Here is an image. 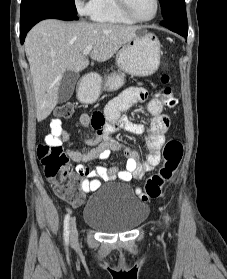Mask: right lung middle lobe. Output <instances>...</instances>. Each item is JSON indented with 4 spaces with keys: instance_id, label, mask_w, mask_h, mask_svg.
<instances>
[{
    "instance_id": "dd1d6c3e",
    "label": "right lung middle lobe",
    "mask_w": 227,
    "mask_h": 279,
    "mask_svg": "<svg viewBox=\"0 0 227 279\" xmlns=\"http://www.w3.org/2000/svg\"><path fill=\"white\" fill-rule=\"evenodd\" d=\"M34 1L36 0H22L21 10L28 7ZM51 1L57 2L61 4L63 7L67 8L68 10L77 13L74 0H51Z\"/></svg>"
}]
</instances>
